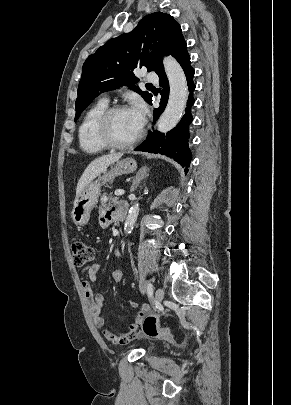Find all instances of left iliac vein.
Wrapping results in <instances>:
<instances>
[{
    "instance_id": "obj_1",
    "label": "left iliac vein",
    "mask_w": 291,
    "mask_h": 405,
    "mask_svg": "<svg viewBox=\"0 0 291 405\" xmlns=\"http://www.w3.org/2000/svg\"><path fill=\"white\" fill-rule=\"evenodd\" d=\"M164 298V291L161 288H158L155 292V299L160 303Z\"/></svg>"
}]
</instances>
